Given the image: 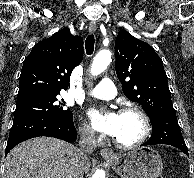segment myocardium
Segmentation results:
<instances>
[{"instance_id":"obj_1","label":"myocardium","mask_w":194,"mask_h":178,"mask_svg":"<svg viewBox=\"0 0 194 178\" xmlns=\"http://www.w3.org/2000/svg\"><path fill=\"white\" fill-rule=\"evenodd\" d=\"M119 113L120 114H122V113H134V114H136L142 121L143 131H142L141 136L137 140H135L131 143L121 142L114 137L112 139L113 143L117 147L123 148V149L136 148V147L142 145L143 143H145L146 140L148 139V137L150 136V133H151V122H150V119H149V116L147 115V113L144 110H142L140 107L135 106V105L124 106L120 109Z\"/></svg>"}]
</instances>
